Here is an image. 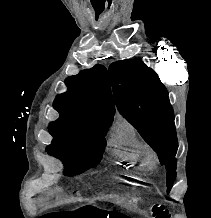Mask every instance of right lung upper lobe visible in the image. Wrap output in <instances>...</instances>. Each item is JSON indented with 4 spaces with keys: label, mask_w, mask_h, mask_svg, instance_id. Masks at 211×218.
Here are the masks:
<instances>
[{
    "label": "right lung upper lobe",
    "mask_w": 211,
    "mask_h": 218,
    "mask_svg": "<svg viewBox=\"0 0 211 218\" xmlns=\"http://www.w3.org/2000/svg\"><path fill=\"white\" fill-rule=\"evenodd\" d=\"M67 93L59 94L53 106L58 120L79 125H102L108 129L115 113L109 76L100 64L65 80Z\"/></svg>",
    "instance_id": "1"
}]
</instances>
